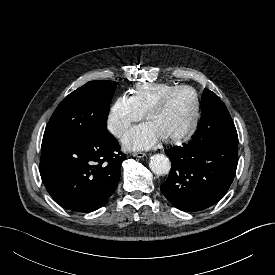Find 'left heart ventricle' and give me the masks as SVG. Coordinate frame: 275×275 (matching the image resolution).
Wrapping results in <instances>:
<instances>
[{"mask_svg":"<svg viewBox=\"0 0 275 275\" xmlns=\"http://www.w3.org/2000/svg\"><path fill=\"white\" fill-rule=\"evenodd\" d=\"M195 109L194 95L189 90L174 93L164 108L152 114L148 122L152 124L162 139L184 133L190 126Z\"/></svg>","mask_w":275,"mask_h":275,"instance_id":"obj_1","label":"left heart ventricle"}]
</instances>
